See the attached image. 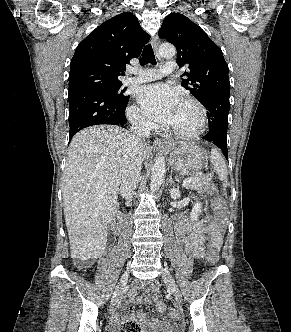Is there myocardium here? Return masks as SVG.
Here are the masks:
<instances>
[{"mask_svg": "<svg viewBox=\"0 0 291 332\" xmlns=\"http://www.w3.org/2000/svg\"><path fill=\"white\" fill-rule=\"evenodd\" d=\"M181 102L190 104L191 106L194 107L199 119L198 127L193 131L183 132L170 126L169 132L172 135L182 139H192L202 135L208 127V119L203 105L198 100L191 97H184L181 99Z\"/></svg>", "mask_w": 291, "mask_h": 332, "instance_id": "f54148a6", "label": "myocardium"}]
</instances>
